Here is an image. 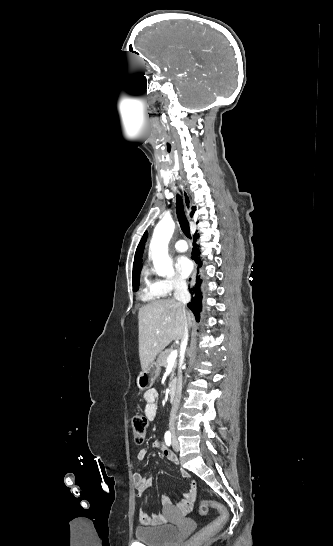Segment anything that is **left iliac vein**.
Segmentation results:
<instances>
[{
	"label": "left iliac vein",
	"instance_id": "1",
	"mask_svg": "<svg viewBox=\"0 0 333 546\" xmlns=\"http://www.w3.org/2000/svg\"><path fill=\"white\" fill-rule=\"evenodd\" d=\"M172 447L175 451H178L179 450V444H178V441L175 437V435H173V442H172Z\"/></svg>",
	"mask_w": 333,
	"mask_h": 546
}]
</instances>
